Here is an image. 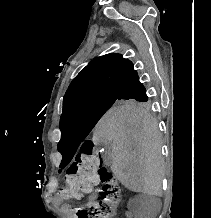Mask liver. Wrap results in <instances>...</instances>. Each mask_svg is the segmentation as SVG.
Masks as SVG:
<instances>
[{"mask_svg": "<svg viewBox=\"0 0 211 218\" xmlns=\"http://www.w3.org/2000/svg\"><path fill=\"white\" fill-rule=\"evenodd\" d=\"M93 140L110 146L111 170L125 188L160 196L161 136L147 110L111 108L98 122Z\"/></svg>", "mask_w": 211, "mask_h": 218, "instance_id": "6515ba94", "label": "liver"}]
</instances>
